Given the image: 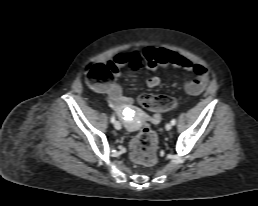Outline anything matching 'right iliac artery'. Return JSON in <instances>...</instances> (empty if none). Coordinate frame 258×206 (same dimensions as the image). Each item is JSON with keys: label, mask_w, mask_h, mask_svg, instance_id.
<instances>
[{"label": "right iliac artery", "mask_w": 258, "mask_h": 206, "mask_svg": "<svg viewBox=\"0 0 258 206\" xmlns=\"http://www.w3.org/2000/svg\"><path fill=\"white\" fill-rule=\"evenodd\" d=\"M110 120H111V123H115V116L112 115Z\"/></svg>", "instance_id": "82829eb1"}]
</instances>
